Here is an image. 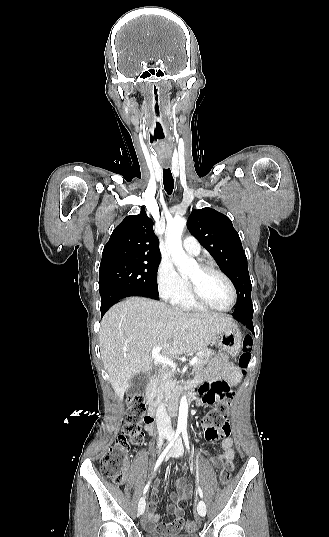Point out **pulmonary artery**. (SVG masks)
<instances>
[{
	"label": "pulmonary artery",
	"instance_id": "pulmonary-artery-1",
	"mask_svg": "<svg viewBox=\"0 0 329 537\" xmlns=\"http://www.w3.org/2000/svg\"><path fill=\"white\" fill-rule=\"evenodd\" d=\"M183 248L191 253V254H194V255H198L201 251V246L200 244L198 243V241L192 237V236H188L186 237L184 240H183Z\"/></svg>",
	"mask_w": 329,
	"mask_h": 537
}]
</instances>
